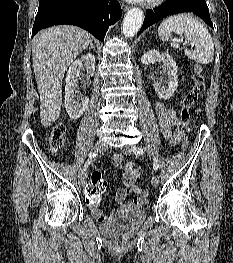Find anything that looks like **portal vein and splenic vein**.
I'll use <instances>...</instances> for the list:
<instances>
[{
    "mask_svg": "<svg viewBox=\"0 0 233 263\" xmlns=\"http://www.w3.org/2000/svg\"><path fill=\"white\" fill-rule=\"evenodd\" d=\"M177 41H178V42H183V38L181 37V38H179Z\"/></svg>",
    "mask_w": 233,
    "mask_h": 263,
    "instance_id": "1",
    "label": "portal vein and splenic vein"
}]
</instances>
